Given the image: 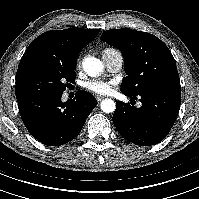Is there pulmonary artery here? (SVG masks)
Here are the masks:
<instances>
[{
	"instance_id": "pulmonary-artery-1",
	"label": "pulmonary artery",
	"mask_w": 199,
	"mask_h": 199,
	"mask_svg": "<svg viewBox=\"0 0 199 199\" xmlns=\"http://www.w3.org/2000/svg\"><path fill=\"white\" fill-rule=\"evenodd\" d=\"M102 58L105 66L111 72H118L123 66L122 54L114 49H106L102 53Z\"/></svg>"
}]
</instances>
